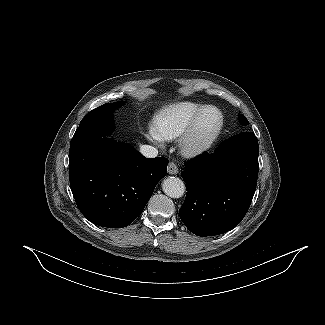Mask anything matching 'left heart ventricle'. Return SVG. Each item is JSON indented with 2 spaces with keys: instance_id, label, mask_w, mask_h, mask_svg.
<instances>
[{
  "instance_id": "b2bd125f",
  "label": "left heart ventricle",
  "mask_w": 325,
  "mask_h": 325,
  "mask_svg": "<svg viewBox=\"0 0 325 325\" xmlns=\"http://www.w3.org/2000/svg\"><path fill=\"white\" fill-rule=\"evenodd\" d=\"M219 116L217 112L209 110L203 117L200 125V135H207L218 123Z\"/></svg>"
}]
</instances>
